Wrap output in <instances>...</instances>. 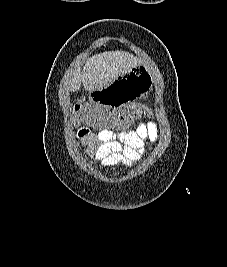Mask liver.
Listing matches in <instances>:
<instances>
[{
    "mask_svg": "<svg viewBox=\"0 0 227 267\" xmlns=\"http://www.w3.org/2000/svg\"><path fill=\"white\" fill-rule=\"evenodd\" d=\"M138 62L136 57L123 51H108L94 55L86 61L83 74L76 71L70 76V91L79 90L81 84L87 91H95V87H106L107 82H112V77L127 73L129 68H133Z\"/></svg>",
    "mask_w": 227,
    "mask_h": 267,
    "instance_id": "6515ba94",
    "label": "liver"
}]
</instances>
